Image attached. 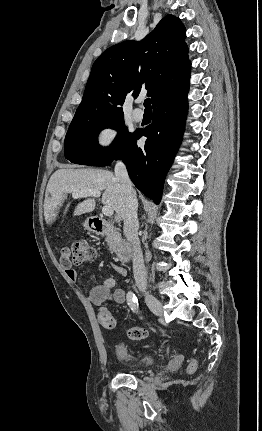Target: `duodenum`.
Wrapping results in <instances>:
<instances>
[{"label": "duodenum", "instance_id": "duodenum-1", "mask_svg": "<svg viewBox=\"0 0 262 431\" xmlns=\"http://www.w3.org/2000/svg\"><path fill=\"white\" fill-rule=\"evenodd\" d=\"M89 222L92 229L97 234L113 235V239L115 240V243H116L117 255L122 262H128L131 259V255H132L131 244L114 235L115 227L110 222L105 221L97 216L91 217Z\"/></svg>", "mask_w": 262, "mask_h": 431}]
</instances>
